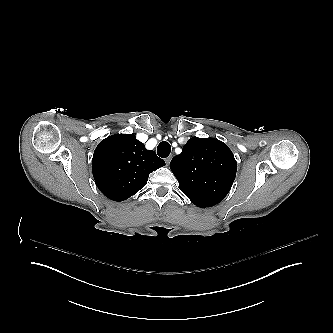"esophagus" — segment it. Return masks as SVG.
I'll list each match as a JSON object with an SVG mask.
<instances>
[{"label":"esophagus","instance_id":"esophagus-1","mask_svg":"<svg viewBox=\"0 0 333 333\" xmlns=\"http://www.w3.org/2000/svg\"><path fill=\"white\" fill-rule=\"evenodd\" d=\"M170 161H171V156H169L165 159V162H166L167 165L169 164Z\"/></svg>","mask_w":333,"mask_h":333}]
</instances>
